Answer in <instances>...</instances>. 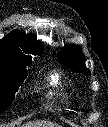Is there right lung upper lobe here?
I'll use <instances>...</instances> for the list:
<instances>
[{
	"label": "right lung upper lobe",
	"mask_w": 108,
	"mask_h": 127,
	"mask_svg": "<svg viewBox=\"0 0 108 127\" xmlns=\"http://www.w3.org/2000/svg\"><path fill=\"white\" fill-rule=\"evenodd\" d=\"M42 45L32 36L12 31L0 40V62L13 61L30 66L32 58L28 54L41 55Z\"/></svg>",
	"instance_id": "cb5924a9"
}]
</instances>
